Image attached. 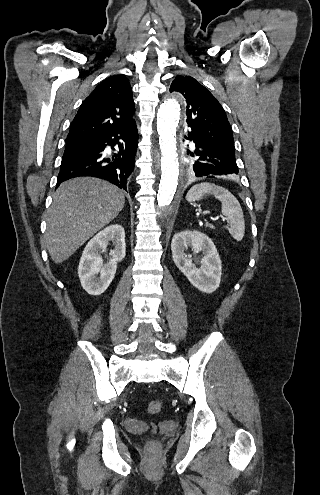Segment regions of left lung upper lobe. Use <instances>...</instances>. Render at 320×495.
Returning <instances> with one entry per match:
<instances>
[{
    "label": "left lung upper lobe",
    "mask_w": 320,
    "mask_h": 495,
    "mask_svg": "<svg viewBox=\"0 0 320 495\" xmlns=\"http://www.w3.org/2000/svg\"><path fill=\"white\" fill-rule=\"evenodd\" d=\"M181 93L187 101V124L205 142L223 151L235 154L233 132L226 113L217 99L191 76L178 75L173 80L170 92ZM190 156L189 172L197 161L195 151H187ZM192 157V158H191Z\"/></svg>",
    "instance_id": "left-lung-upper-lobe-1"
}]
</instances>
